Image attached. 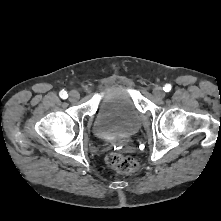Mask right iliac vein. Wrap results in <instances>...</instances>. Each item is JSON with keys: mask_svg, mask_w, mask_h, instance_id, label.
Listing matches in <instances>:
<instances>
[{"mask_svg": "<svg viewBox=\"0 0 221 221\" xmlns=\"http://www.w3.org/2000/svg\"><path fill=\"white\" fill-rule=\"evenodd\" d=\"M79 98H80V94H79L78 91H76V90L70 91V93H69V100H70L71 102H75V101H77Z\"/></svg>", "mask_w": 221, "mask_h": 221, "instance_id": "63e3f726", "label": "right iliac vein"}]
</instances>
